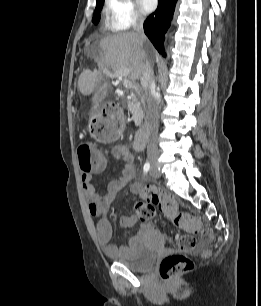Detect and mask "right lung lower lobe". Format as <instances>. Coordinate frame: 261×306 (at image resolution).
I'll use <instances>...</instances> for the list:
<instances>
[{
  "label": "right lung lower lobe",
  "mask_w": 261,
  "mask_h": 306,
  "mask_svg": "<svg viewBox=\"0 0 261 306\" xmlns=\"http://www.w3.org/2000/svg\"><path fill=\"white\" fill-rule=\"evenodd\" d=\"M177 0H158V7L144 22V31L155 48L165 56L163 44L164 34L175 10Z\"/></svg>",
  "instance_id": "right-lung-lower-lobe-1"
}]
</instances>
